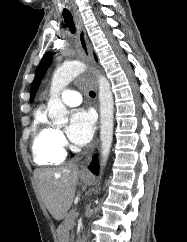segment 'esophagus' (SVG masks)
I'll use <instances>...</instances> for the list:
<instances>
[{
  "mask_svg": "<svg viewBox=\"0 0 187 242\" xmlns=\"http://www.w3.org/2000/svg\"><path fill=\"white\" fill-rule=\"evenodd\" d=\"M74 20H75V24L78 30V40H79V45H80V49L83 55L84 60L90 64L91 68L93 71L96 70V63L93 57V53L87 38V33H86V29L83 23V19L81 17V15L79 14V12H75L74 13ZM88 169L86 166H83L81 168V172H87Z\"/></svg>",
  "mask_w": 187,
  "mask_h": 242,
  "instance_id": "esophagus-1",
  "label": "esophagus"
}]
</instances>
